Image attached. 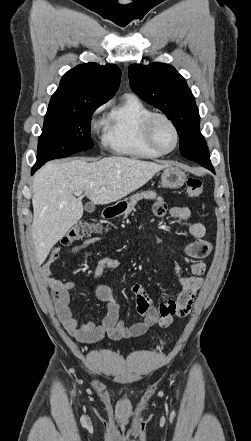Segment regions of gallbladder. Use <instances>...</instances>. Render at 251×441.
I'll list each match as a JSON object with an SVG mask.
<instances>
[{
    "mask_svg": "<svg viewBox=\"0 0 251 441\" xmlns=\"http://www.w3.org/2000/svg\"><path fill=\"white\" fill-rule=\"evenodd\" d=\"M85 210L89 213H92L95 210V206L92 203H87L85 205Z\"/></svg>",
    "mask_w": 251,
    "mask_h": 441,
    "instance_id": "gallbladder-1",
    "label": "gallbladder"
}]
</instances>
